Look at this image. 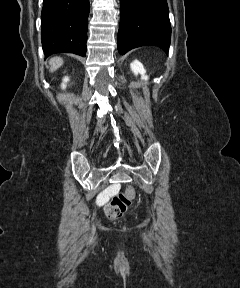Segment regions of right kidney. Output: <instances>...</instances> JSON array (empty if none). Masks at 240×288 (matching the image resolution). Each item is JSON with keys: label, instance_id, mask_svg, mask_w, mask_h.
I'll use <instances>...</instances> for the list:
<instances>
[{"label": "right kidney", "instance_id": "obj_1", "mask_svg": "<svg viewBox=\"0 0 240 288\" xmlns=\"http://www.w3.org/2000/svg\"><path fill=\"white\" fill-rule=\"evenodd\" d=\"M69 81V78L68 77H65L64 79H63V83H62V85H61V87H62V89H64L65 87H66V83Z\"/></svg>", "mask_w": 240, "mask_h": 288}]
</instances>
